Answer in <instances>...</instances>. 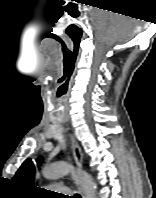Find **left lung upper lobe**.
I'll return each mask as SVG.
<instances>
[{
	"label": "left lung upper lobe",
	"instance_id": "obj_1",
	"mask_svg": "<svg viewBox=\"0 0 156 198\" xmlns=\"http://www.w3.org/2000/svg\"><path fill=\"white\" fill-rule=\"evenodd\" d=\"M42 160V157H39L36 161H33L30 158L26 159L16 172L13 180L24 186H33L36 167L40 166Z\"/></svg>",
	"mask_w": 156,
	"mask_h": 198
}]
</instances>
